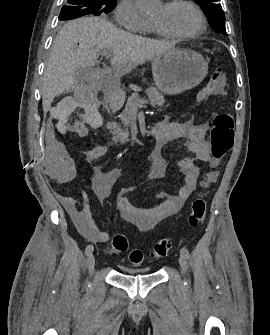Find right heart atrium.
Masks as SVG:
<instances>
[{
    "label": "right heart atrium",
    "instance_id": "right-heart-atrium-1",
    "mask_svg": "<svg viewBox=\"0 0 270 335\" xmlns=\"http://www.w3.org/2000/svg\"><path fill=\"white\" fill-rule=\"evenodd\" d=\"M114 20L128 31L148 33V22L139 13L135 0H121L115 9Z\"/></svg>",
    "mask_w": 270,
    "mask_h": 335
}]
</instances>
